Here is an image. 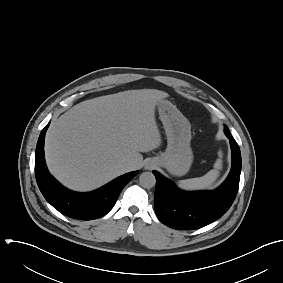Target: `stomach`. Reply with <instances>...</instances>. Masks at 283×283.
I'll return each instance as SVG.
<instances>
[{
  "label": "stomach",
  "instance_id": "stomach-1",
  "mask_svg": "<svg viewBox=\"0 0 283 283\" xmlns=\"http://www.w3.org/2000/svg\"><path fill=\"white\" fill-rule=\"evenodd\" d=\"M157 105L159 118L167 136V149L153 160L172 175H185L193 162L190 147L191 125L171 102L161 100Z\"/></svg>",
  "mask_w": 283,
  "mask_h": 283
}]
</instances>
